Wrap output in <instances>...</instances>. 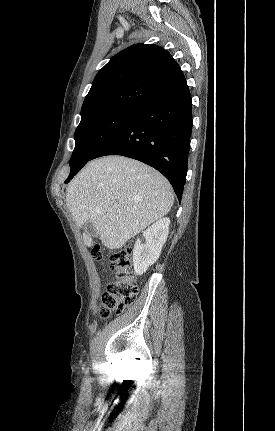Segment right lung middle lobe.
<instances>
[{
  "label": "right lung middle lobe",
  "mask_w": 275,
  "mask_h": 431,
  "mask_svg": "<svg viewBox=\"0 0 275 431\" xmlns=\"http://www.w3.org/2000/svg\"><path fill=\"white\" fill-rule=\"evenodd\" d=\"M138 108H111L82 117L75 131L70 176L77 173L136 113Z\"/></svg>",
  "instance_id": "obj_1"
}]
</instances>
